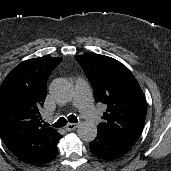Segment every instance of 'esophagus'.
I'll list each match as a JSON object with an SVG mask.
<instances>
[{
  "label": "esophagus",
  "mask_w": 171,
  "mask_h": 171,
  "mask_svg": "<svg viewBox=\"0 0 171 171\" xmlns=\"http://www.w3.org/2000/svg\"><path fill=\"white\" fill-rule=\"evenodd\" d=\"M77 127H78L77 123H69L66 125L65 129L67 131H72V130L76 129Z\"/></svg>",
  "instance_id": "esophagus-1"
}]
</instances>
